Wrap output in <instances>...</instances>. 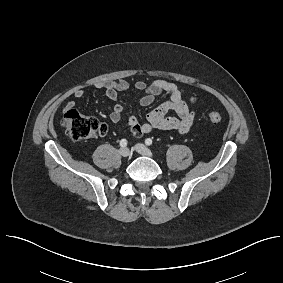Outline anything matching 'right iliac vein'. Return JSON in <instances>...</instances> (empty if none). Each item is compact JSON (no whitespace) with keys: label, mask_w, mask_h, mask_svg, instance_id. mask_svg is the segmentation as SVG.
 I'll list each match as a JSON object with an SVG mask.
<instances>
[{"label":"right iliac vein","mask_w":283,"mask_h":283,"mask_svg":"<svg viewBox=\"0 0 283 283\" xmlns=\"http://www.w3.org/2000/svg\"><path fill=\"white\" fill-rule=\"evenodd\" d=\"M119 153L123 157H128L130 155V150L126 147H123L119 150Z\"/></svg>","instance_id":"obj_1"}]
</instances>
